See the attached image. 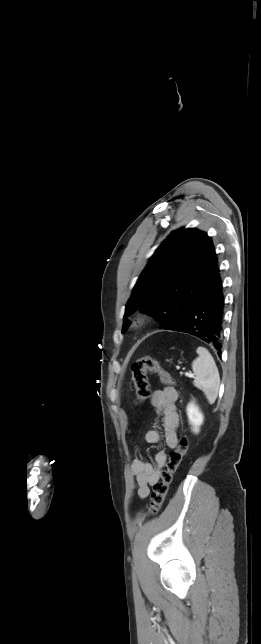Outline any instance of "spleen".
<instances>
[{
    "label": "spleen",
    "mask_w": 261,
    "mask_h": 644,
    "mask_svg": "<svg viewBox=\"0 0 261 644\" xmlns=\"http://www.w3.org/2000/svg\"><path fill=\"white\" fill-rule=\"evenodd\" d=\"M196 352L198 358L192 362V370L195 374L193 384L202 390L208 402L213 404L219 391V372L213 357L206 348L198 347Z\"/></svg>",
    "instance_id": "3e777b00"
}]
</instances>
